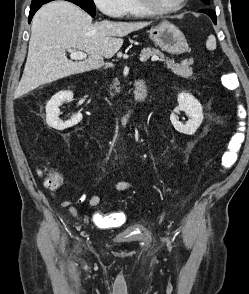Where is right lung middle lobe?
Returning a JSON list of instances; mask_svg holds the SVG:
<instances>
[{"mask_svg":"<svg viewBox=\"0 0 249 294\" xmlns=\"http://www.w3.org/2000/svg\"><path fill=\"white\" fill-rule=\"evenodd\" d=\"M53 0H32L31 7L37 6L40 4H45ZM70 1L78 6H80L83 10H85L88 14L92 17L95 16V4L93 0H67Z\"/></svg>","mask_w":249,"mask_h":294,"instance_id":"obj_1","label":"right lung middle lobe"}]
</instances>
